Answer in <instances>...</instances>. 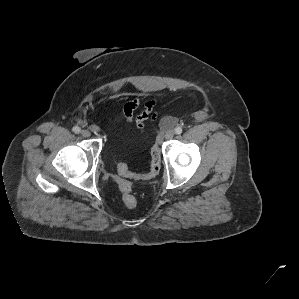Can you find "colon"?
I'll return each mask as SVG.
<instances>
[{
	"mask_svg": "<svg viewBox=\"0 0 299 299\" xmlns=\"http://www.w3.org/2000/svg\"><path fill=\"white\" fill-rule=\"evenodd\" d=\"M167 123L169 124V121ZM161 159V150L155 146L151 149L150 164L147 172L135 173L125 163L118 165L119 177H117L116 182L121 191V200L125 206L132 208L137 203L136 197L132 194V185L128 179L145 180L156 176L160 171Z\"/></svg>",
	"mask_w": 299,
	"mask_h": 299,
	"instance_id": "obj_1",
	"label": "colon"
}]
</instances>
